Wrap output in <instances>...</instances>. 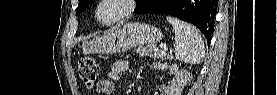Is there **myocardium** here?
Here are the masks:
<instances>
[{"label":"myocardium","instance_id":"f54148a6","mask_svg":"<svg viewBox=\"0 0 277 95\" xmlns=\"http://www.w3.org/2000/svg\"><path fill=\"white\" fill-rule=\"evenodd\" d=\"M108 3L118 5V11L111 17H104L101 14V8ZM136 9L135 0H101L95 9V16L99 23L105 26H111L129 17Z\"/></svg>","mask_w":277,"mask_h":95}]
</instances>
